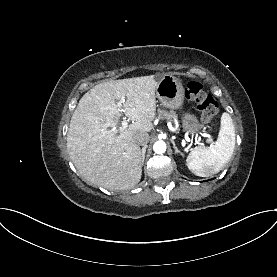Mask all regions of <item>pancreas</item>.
Returning a JSON list of instances; mask_svg holds the SVG:
<instances>
[{
  "mask_svg": "<svg viewBox=\"0 0 277 277\" xmlns=\"http://www.w3.org/2000/svg\"><path fill=\"white\" fill-rule=\"evenodd\" d=\"M159 117H165L167 120H170L174 116L173 111L158 110Z\"/></svg>",
  "mask_w": 277,
  "mask_h": 277,
  "instance_id": "cf45deb5",
  "label": "pancreas"
}]
</instances>
